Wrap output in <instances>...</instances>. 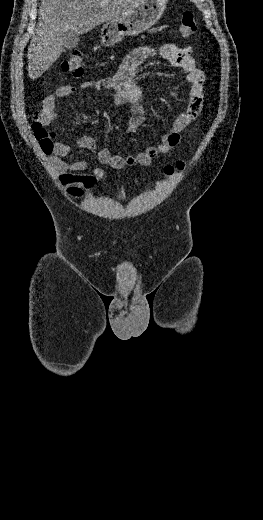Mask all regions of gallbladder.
<instances>
[{
    "instance_id": "1",
    "label": "gallbladder",
    "mask_w": 263,
    "mask_h": 520,
    "mask_svg": "<svg viewBox=\"0 0 263 520\" xmlns=\"http://www.w3.org/2000/svg\"><path fill=\"white\" fill-rule=\"evenodd\" d=\"M64 48L66 49H74L77 47L79 43V35L75 34L72 31L65 33L63 35Z\"/></svg>"
}]
</instances>
